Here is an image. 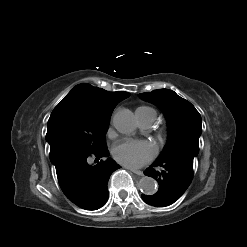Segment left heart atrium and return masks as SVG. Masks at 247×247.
I'll use <instances>...</instances> for the list:
<instances>
[{
  "mask_svg": "<svg viewBox=\"0 0 247 247\" xmlns=\"http://www.w3.org/2000/svg\"><path fill=\"white\" fill-rule=\"evenodd\" d=\"M112 153L119 163L137 168L149 162L156 151L153 145L146 141L124 139L114 145Z\"/></svg>",
  "mask_w": 247,
  "mask_h": 247,
  "instance_id": "left-heart-atrium-1",
  "label": "left heart atrium"
}]
</instances>
